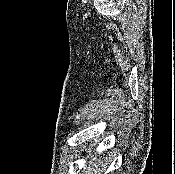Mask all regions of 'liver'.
I'll use <instances>...</instances> for the list:
<instances>
[{
	"label": "liver",
	"mask_w": 175,
	"mask_h": 174,
	"mask_svg": "<svg viewBox=\"0 0 175 174\" xmlns=\"http://www.w3.org/2000/svg\"><path fill=\"white\" fill-rule=\"evenodd\" d=\"M88 173L86 174H102L106 170V165L104 164L102 168H100V159H97V162H95V158H92L88 162ZM94 172V173H91Z\"/></svg>",
	"instance_id": "1"
}]
</instances>
